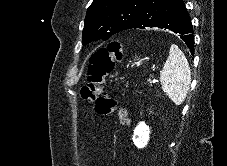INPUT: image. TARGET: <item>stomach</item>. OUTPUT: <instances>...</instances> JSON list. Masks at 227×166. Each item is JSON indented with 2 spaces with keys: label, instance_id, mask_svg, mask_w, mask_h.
Returning <instances> with one entry per match:
<instances>
[{
  "label": "stomach",
  "instance_id": "1",
  "mask_svg": "<svg viewBox=\"0 0 227 166\" xmlns=\"http://www.w3.org/2000/svg\"><path fill=\"white\" fill-rule=\"evenodd\" d=\"M141 61H142V60H139V59H138V61H137L135 64H140V63H141Z\"/></svg>",
  "mask_w": 227,
  "mask_h": 166
}]
</instances>
